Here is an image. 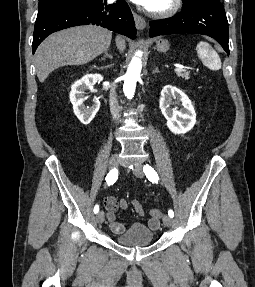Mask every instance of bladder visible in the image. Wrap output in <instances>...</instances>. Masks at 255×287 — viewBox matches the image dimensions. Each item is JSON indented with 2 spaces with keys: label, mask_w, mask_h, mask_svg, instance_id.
I'll return each instance as SVG.
<instances>
[{
  "label": "bladder",
  "mask_w": 255,
  "mask_h": 287,
  "mask_svg": "<svg viewBox=\"0 0 255 287\" xmlns=\"http://www.w3.org/2000/svg\"><path fill=\"white\" fill-rule=\"evenodd\" d=\"M154 239L153 230L143 223H133L122 233L115 235V240L125 246H144Z\"/></svg>",
  "instance_id": "31cf9c89"
}]
</instances>
